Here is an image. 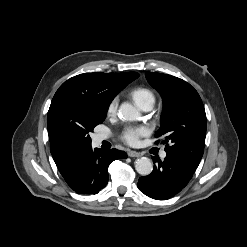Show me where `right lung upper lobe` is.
Listing matches in <instances>:
<instances>
[{"instance_id":"right-lung-upper-lobe-1","label":"right lung upper lobe","mask_w":247,"mask_h":247,"mask_svg":"<svg viewBox=\"0 0 247 247\" xmlns=\"http://www.w3.org/2000/svg\"><path fill=\"white\" fill-rule=\"evenodd\" d=\"M136 72L127 73H84L64 82L55 93L51 106L62 98L88 99L97 104H110L128 83L138 78ZM50 109V108H49ZM49 112V111H48ZM50 151L57 166L64 163L74 152L81 149L63 138L48 119Z\"/></svg>"}]
</instances>
